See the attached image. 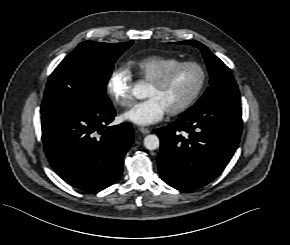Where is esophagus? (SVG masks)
I'll use <instances>...</instances> for the list:
<instances>
[{"mask_svg": "<svg viewBox=\"0 0 290 245\" xmlns=\"http://www.w3.org/2000/svg\"><path fill=\"white\" fill-rule=\"evenodd\" d=\"M138 130L144 135L150 133V130L148 128H145V127H139Z\"/></svg>", "mask_w": 290, "mask_h": 245, "instance_id": "1", "label": "esophagus"}]
</instances>
